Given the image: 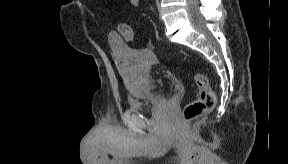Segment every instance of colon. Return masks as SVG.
Wrapping results in <instances>:
<instances>
[{
  "label": "colon",
  "instance_id": "5ec220e1",
  "mask_svg": "<svg viewBox=\"0 0 288 164\" xmlns=\"http://www.w3.org/2000/svg\"><path fill=\"white\" fill-rule=\"evenodd\" d=\"M118 30L125 40L130 41L133 39V33L128 23H120ZM193 81L198 95L186 104L183 110V120H194L211 112L215 107V92L211 88L209 79L200 73H195L193 74Z\"/></svg>",
  "mask_w": 288,
  "mask_h": 164
}]
</instances>
